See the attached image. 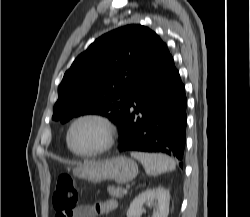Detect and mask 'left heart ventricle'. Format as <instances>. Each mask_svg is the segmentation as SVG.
<instances>
[{
	"label": "left heart ventricle",
	"mask_w": 250,
	"mask_h": 217,
	"mask_svg": "<svg viewBox=\"0 0 250 217\" xmlns=\"http://www.w3.org/2000/svg\"><path fill=\"white\" fill-rule=\"evenodd\" d=\"M102 126L92 120L78 123L71 134V142L78 151H91L96 149L103 141Z\"/></svg>",
	"instance_id": "obj_1"
}]
</instances>
